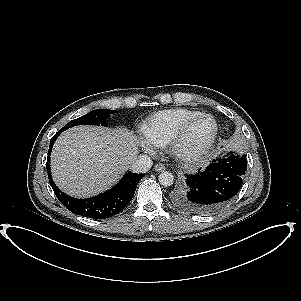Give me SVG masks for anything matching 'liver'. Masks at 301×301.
<instances>
[{
	"label": "liver",
	"mask_w": 301,
	"mask_h": 301,
	"mask_svg": "<svg viewBox=\"0 0 301 301\" xmlns=\"http://www.w3.org/2000/svg\"><path fill=\"white\" fill-rule=\"evenodd\" d=\"M137 154V138L124 128L73 127L53 146L52 177L70 196H94L116 184Z\"/></svg>",
	"instance_id": "1"
}]
</instances>
